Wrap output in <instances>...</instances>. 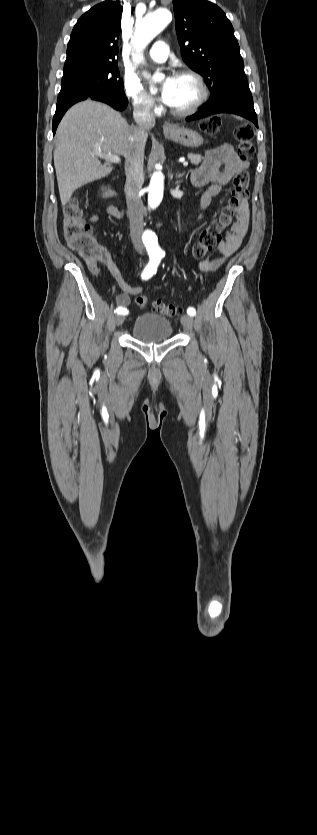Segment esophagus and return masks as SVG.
<instances>
[{"mask_svg":"<svg viewBox=\"0 0 317 835\" xmlns=\"http://www.w3.org/2000/svg\"><path fill=\"white\" fill-rule=\"evenodd\" d=\"M175 130H176V127H175L172 123H170V122H165V123L163 124V131H164V132L168 133V132H173V131H175Z\"/></svg>","mask_w":317,"mask_h":835,"instance_id":"obj_1","label":"esophagus"}]
</instances>
